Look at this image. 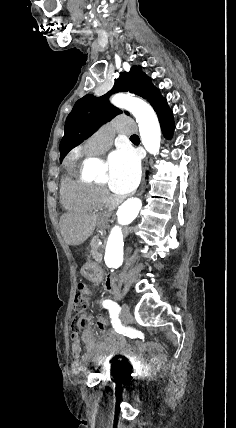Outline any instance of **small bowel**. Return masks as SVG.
Returning a JSON list of instances; mask_svg holds the SVG:
<instances>
[{"label":"small bowel","mask_w":236,"mask_h":428,"mask_svg":"<svg viewBox=\"0 0 236 428\" xmlns=\"http://www.w3.org/2000/svg\"><path fill=\"white\" fill-rule=\"evenodd\" d=\"M105 290L115 292L116 284L106 281ZM83 320L82 333H71L72 353L76 361L120 359L137 369H147L163 363L165 357L156 343L144 341L131 343L123 336L107 333L104 327L93 324L89 317H83ZM81 343L85 345L84 353Z\"/></svg>","instance_id":"1"}]
</instances>
